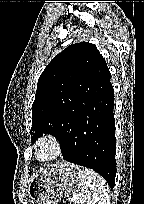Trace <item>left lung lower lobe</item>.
Instances as JSON below:
<instances>
[{"label": "left lung lower lobe", "mask_w": 144, "mask_h": 204, "mask_svg": "<svg viewBox=\"0 0 144 204\" xmlns=\"http://www.w3.org/2000/svg\"><path fill=\"white\" fill-rule=\"evenodd\" d=\"M106 66L98 70L86 89V103L74 120L73 128L62 142L66 161L98 172L114 187L116 175V137L114 119V90Z\"/></svg>", "instance_id": "0a47b994"}]
</instances>
